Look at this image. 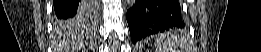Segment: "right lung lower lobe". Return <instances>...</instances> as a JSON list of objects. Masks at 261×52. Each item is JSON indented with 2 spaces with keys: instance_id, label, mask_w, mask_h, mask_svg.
<instances>
[{
  "instance_id": "right-lung-lower-lobe-1",
  "label": "right lung lower lobe",
  "mask_w": 261,
  "mask_h": 52,
  "mask_svg": "<svg viewBox=\"0 0 261 52\" xmlns=\"http://www.w3.org/2000/svg\"><path fill=\"white\" fill-rule=\"evenodd\" d=\"M54 10L58 19H71L82 11L86 14H92L93 9L87 8L86 1H74V0H54Z\"/></svg>"
}]
</instances>
